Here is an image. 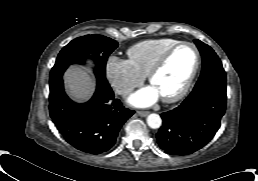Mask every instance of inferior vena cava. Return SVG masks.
<instances>
[{
    "label": "inferior vena cava",
    "instance_id": "inferior-vena-cava-1",
    "mask_svg": "<svg viewBox=\"0 0 258 181\" xmlns=\"http://www.w3.org/2000/svg\"><path fill=\"white\" fill-rule=\"evenodd\" d=\"M132 91H133V88L128 87V86H126V85H121V86H118V87L116 88V92H117L119 95H123V96H126V95L130 94Z\"/></svg>",
    "mask_w": 258,
    "mask_h": 181
}]
</instances>
